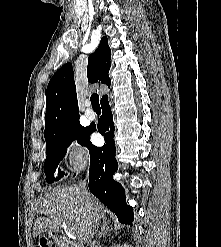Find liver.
Wrapping results in <instances>:
<instances>
[{
  "label": "liver",
  "instance_id": "1",
  "mask_svg": "<svg viewBox=\"0 0 221 247\" xmlns=\"http://www.w3.org/2000/svg\"><path fill=\"white\" fill-rule=\"evenodd\" d=\"M35 208L41 216L34 222V237L57 230L63 223L81 243H87L89 230L106 221L104 206L91 195L88 202L77 186L50 189L36 199Z\"/></svg>",
  "mask_w": 221,
  "mask_h": 247
}]
</instances>
